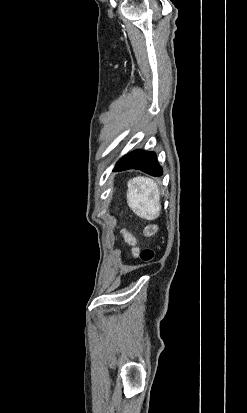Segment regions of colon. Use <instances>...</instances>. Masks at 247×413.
<instances>
[{
	"mask_svg": "<svg viewBox=\"0 0 247 413\" xmlns=\"http://www.w3.org/2000/svg\"><path fill=\"white\" fill-rule=\"evenodd\" d=\"M156 251L154 249H143L140 251L139 260L142 261L143 263H148L149 265L151 264L155 258Z\"/></svg>",
	"mask_w": 247,
	"mask_h": 413,
	"instance_id": "obj_1",
	"label": "colon"
}]
</instances>
